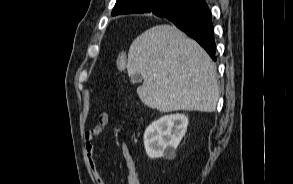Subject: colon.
<instances>
[{
  "label": "colon",
  "instance_id": "obj_1",
  "mask_svg": "<svg viewBox=\"0 0 293 184\" xmlns=\"http://www.w3.org/2000/svg\"><path fill=\"white\" fill-rule=\"evenodd\" d=\"M117 67L121 71H124L127 67V58L123 52L117 54Z\"/></svg>",
  "mask_w": 293,
  "mask_h": 184
}]
</instances>
